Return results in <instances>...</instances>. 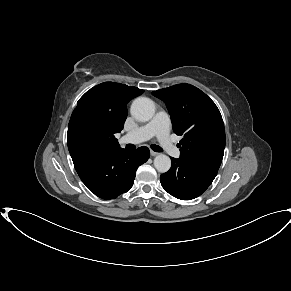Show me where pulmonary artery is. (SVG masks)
<instances>
[{"mask_svg":"<svg viewBox=\"0 0 291 291\" xmlns=\"http://www.w3.org/2000/svg\"><path fill=\"white\" fill-rule=\"evenodd\" d=\"M169 127L170 118L168 114L164 111H159L150 122L123 135L121 142L140 143L156 136L161 146L169 155L179 157L180 151L170 139Z\"/></svg>","mask_w":291,"mask_h":291,"instance_id":"1","label":"pulmonary artery"}]
</instances>
